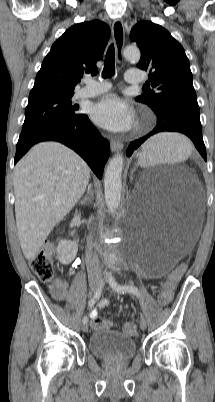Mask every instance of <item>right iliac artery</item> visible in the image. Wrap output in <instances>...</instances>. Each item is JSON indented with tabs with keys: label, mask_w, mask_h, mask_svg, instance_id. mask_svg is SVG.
<instances>
[{
	"label": "right iliac artery",
	"mask_w": 215,
	"mask_h": 402,
	"mask_svg": "<svg viewBox=\"0 0 215 402\" xmlns=\"http://www.w3.org/2000/svg\"><path fill=\"white\" fill-rule=\"evenodd\" d=\"M105 280L103 279L101 281V283L99 284L98 288L96 289V292L94 294V296L90 299V301L88 302V306L89 307H93L94 304L96 303V301L100 298L101 292H102V288L104 286ZM88 319L87 317L83 318V324L87 323Z\"/></svg>",
	"instance_id": "right-iliac-artery-1"
}]
</instances>
